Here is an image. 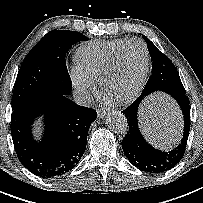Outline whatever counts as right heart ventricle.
<instances>
[{"label":"right heart ventricle","mask_w":203,"mask_h":203,"mask_svg":"<svg viewBox=\"0 0 203 203\" xmlns=\"http://www.w3.org/2000/svg\"><path fill=\"white\" fill-rule=\"evenodd\" d=\"M126 40L97 41L81 45L75 52L77 67L91 79L100 81L114 53Z\"/></svg>","instance_id":"e07e8e85"}]
</instances>
